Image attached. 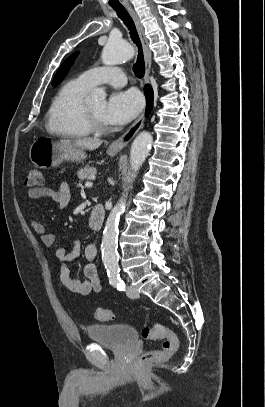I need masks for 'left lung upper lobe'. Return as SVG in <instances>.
I'll use <instances>...</instances> for the list:
<instances>
[{
	"instance_id": "5c2ea615",
	"label": "left lung upper lobe",
	"mask_w": 265,
	"mask_h": 407,
	"mask_svg": "<svg viewBox=\"0 0 265 407\" xmlns=\"http://www.w3.org/2000/svg\"><path fill=\"white\" fill-rule=\"evenodd\" d=\"M77 55H78V52L72 54L70 57H68L64 61V63L60 66V68L58 69V71L52 81V86H56L62 81L63 77L67 74L68 69L72 65V63L75 60Z\"/></svg>"
}]
</instances>
